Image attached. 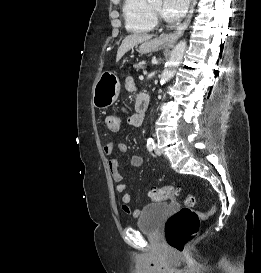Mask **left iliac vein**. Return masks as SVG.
<instances>
[{
	"label": "left iliac vein",
	"mask_w": 261,
	"mask_h": 273,
	"mask_svg": "<svg viewBox=\"0 0 261 273\" xmlns=\"http://www.w3.org/2000/svg\"><path fill=\"white\" fill-rule=\"evenodd\" d=\"M155 153H156V155H161L162 154L161 149L157 145L155 147Z\"/></svg>",
	"instance_id": "obj_1"
}]
</instances>
